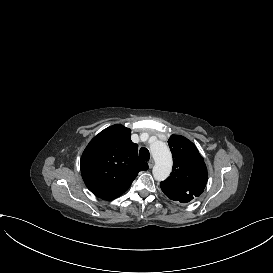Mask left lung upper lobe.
Wrapping results in <instances>:
<instances>
[{
    "instance_id": "obj_1",
    "label": "left lung upper lobe",
    "mask_w": 273,
    "mask_h": 273,
    "mask_svg": "<svg viewBox=\"0 0 273 273\" xmlns=\"http://www.w3.org/2000/svg\"><path fill=\"white\" fill-rule=\"evenodd\" d=\"M168 144L173 156L171 175L160 187L172 200L198 197L207 183V168L196 146L188 139L171 135Z\"/></svg>"
}]
</instances>
